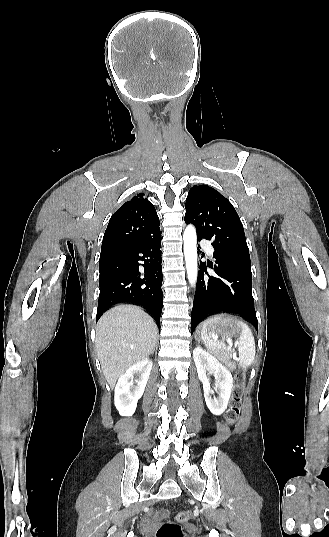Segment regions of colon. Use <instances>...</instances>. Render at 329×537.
Returning <instances> with one entry per match:
<instances>
[{"label": "colon", "mask_w": 329, "mask_h": 537, "mask_svg": "<svg viewBox=\"0 0 329 537\" xmlns=\"http://www.w3.org/2000/svg\"><path fill=\"white\" fill-rule=\"evenodd\" d=\"M245 383L244 370L238 369L234 377V388L229 407L225 413L227 424L232 425L238 419L243 388ZM192 517L191 511L184 510L176 515L177 523L164 522L156 530L155 537H184L185 533L181 524L188 522Z\"/></svg>", "instance_id": "1"}]
</instances>
